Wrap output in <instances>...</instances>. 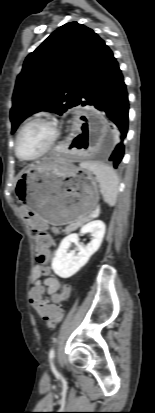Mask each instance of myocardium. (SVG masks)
Here are the masks:
<instances>
[{
	"instance_id": "f54148a6",
	"label": "myocardium",
	"mask_w": 155,
	"mask_h": 413,
	"mask_svg": "<svg viewBox=\"0 0 155 413\" xmlns=\"http://www.w3.org/2000/svg\"><path fill=\"white\" fill-rule=\"evenodd\" d=\"M37 121H43V122H46V123L50 124L53 128V137H52L50 143L48 144V146L41 153H39V154H37L33 157H24V156L21 155V153L19 151V141H20L21 134L27 126H29L30 124H32L34 122H37ZM59 135H60V130H59V127H58V123L55 119H53L49 116H46V115H38V116L32 117L31 119L26 121L20 127V129L18 130L16 139H15V145H14L15 155L19 160L24 161V162H30V161L37 160V159L43 157L44 155H46L47 153H49L53 149V147L55 146V144H56V142L59 138Z\"/></svg>"
}]
</instances>
